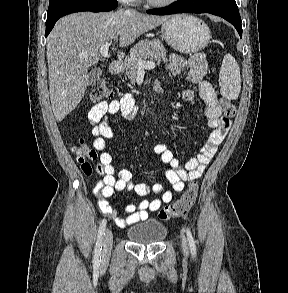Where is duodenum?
I'll use <instances>...</instances> for the list:
<instances>
[{"mask_svg": "<svg viewBox=\"0 0 288 293\" xmlns=\"http://www.w3.org/2000/svg\"><path fill=\"white\" fill-rule=\"evenodd\" d=\"M122 70V62L120 60H114L109 66L111 74H118Z\"/></svg>", "mask_w": 288, "mask_h": 293, "instance_id": "410a0bca", "label": "duodenum"}]
</instances>
